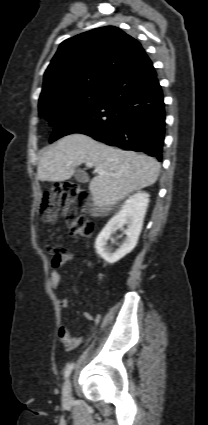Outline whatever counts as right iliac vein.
<instances>
[{
	"label": "right iliac vein",
	"mask_w": 208,
	"mask_h": 425,
	"mask_svg": "<svg viewBox=\"0 0 208 425\" xmlns=\"http://www.w3.org/2000/svg\"><path fill=\"white\" fill-rule=\"evenodd\" d=\"M72 385L70 379L66 380L63 391H62V400L65 405L69 404L71 402L72 396Z\"/></svg>",
	"instance_id": "right-iliac-vein-1"
}]
</instances>
